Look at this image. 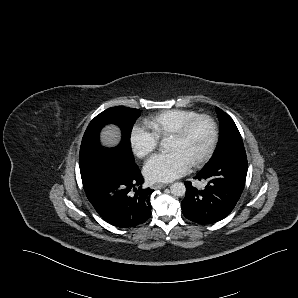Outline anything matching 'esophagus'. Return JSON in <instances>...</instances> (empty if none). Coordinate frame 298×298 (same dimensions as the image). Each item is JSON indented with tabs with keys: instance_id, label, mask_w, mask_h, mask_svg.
<instances>
[{
	"instance_id": "obj_1",
	"label": "esophagus",
	"mask_w": 298,
	"mask_h": 298,
	"mask_svg": "<svg viewBox=\"0 0 298 298\" xmlns=\"http://www.w3.org/2000/svg\"><path fill=\"white\" fill-rule=\"evenodd\" d=\"M166 186H167V185L164 184V183H157V184L152 185L151 188L157 190V189H163V188H165Z\"/></svg>"
}]
</instances>
